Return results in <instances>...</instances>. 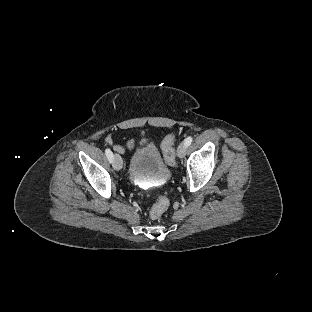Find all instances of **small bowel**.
I'll return each instance as SVG.
<instances>
[{"mask_svg":"<svg viewBox=\"0 0 312 312\" xmlns=\"http://www.w3.org/2000/svg\"><path fill=\"white\" fill-rule=\"evenodd\" d=\"M106 141L108 144L112 145L113 141L111 136H107ZM116 150H118L121 153L125 152H131L135 148V141L133 139H130L125 146H114Z\"/></svg>","mask_w":312,"mask_h":312,"instance_id":"obj_1","label":"small bowel"}]
</instances>
